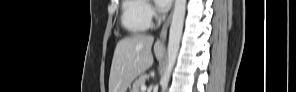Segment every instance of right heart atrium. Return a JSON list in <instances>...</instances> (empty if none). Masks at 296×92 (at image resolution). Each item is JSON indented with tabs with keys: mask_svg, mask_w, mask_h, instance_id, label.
<instances>
[{
	"mask_svg": "<svg viewBox=\"0 0 296 92\" xmlns=\"http://www.w3.org/2000/svg\"><path fill=\"white\" fill-rule=\"evenodd\" d=\"M155 10L153 8V6L148 3V2H145L144 4V16L145 18L151 22V20L155 17Z\"/></svg>",
	"mask_w": 296,
	"mask_h": 92,
	"instance_id": "1",
	"label": "right heart atrium"
}]
</instances>
